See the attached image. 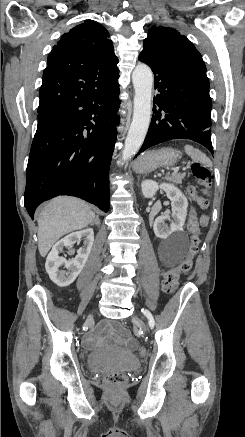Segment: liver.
<instances>
[{
  "instance_id": "1",
  "label": "liver",
  "mask_w": 245,
  "mask_h": 437,
  "mask_svg": "<svg viewBox=\"0 0 245 437\" xmlns=\"http://www.w3.org/2000/svg\"><path fill=\"white\" fill-rule=\"evenodd\" d=\"M95 213L82 200L57 197L48 202L38 215V249L46 256L54 243L65 234L94 222Z\"/></svg>"
}]
</instances>
